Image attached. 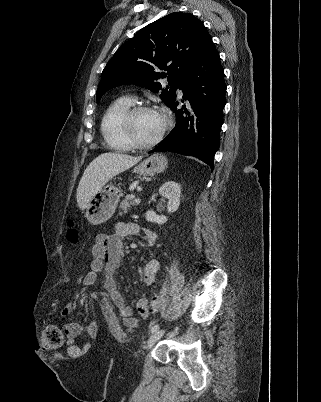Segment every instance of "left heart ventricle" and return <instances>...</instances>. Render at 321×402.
<instances>
[{"instance_id": "1", "label": "left heart ventricle", "mask_w": 321, "mask_h": 402, "mask_svg": "<svg viewBox=\"0 0 321 402\" xmlns=\"http://www.w3.org/2000/svg\"><path fill=\"white\" fill-rule=\"evenodd\" d=\"M164 125L162 115L155 111L137 114L133 120V132L138 141L146 143L154 139Z\"/></svg>"}]
</instances>
